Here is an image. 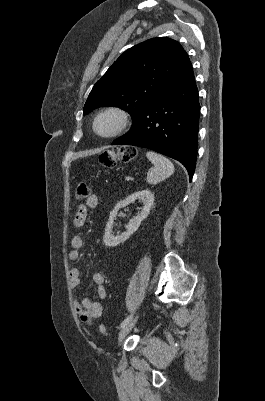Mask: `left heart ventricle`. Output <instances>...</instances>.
<instances>
[{
	"mask_svg": "<svg viewBox=\"0 0 265 401\" xmlns=\"http://www.w3.org/2000/svg\"><path fill=\"white\" fill-rule=\"evenodd\" d=\"M117 126V120L114 116L106 115L97 122V131L102 135L111 133Z\"/></svg>",
	"mask_w": 265,
	"mask_h": 401,
	"instance_id": "b2bd125f",
	"label": "left heart ventricle"
}]
</instances>
